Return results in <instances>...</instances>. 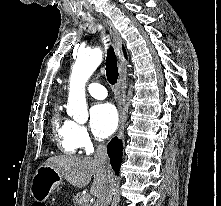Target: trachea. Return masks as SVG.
Here are the masks:
<instances>
[{
  "label": "trachea",
  "instance_id": "trachea-1",
  "mask_svg": "<svg viewBox=\"0 0 221 206\" xmlns=\"http://www.w3.org/2000/svg\"><path fill=\"white\" fill-rule=\"evenodd\" d=\"M105 65H106L105 70H106L107 80L111 85H114L117 82L119 73H118L116 55L111 45H109L107 49V57Z\"/></svg>",
  "mask_w": 221,
  "mask_h": 206
}]
</instances>
